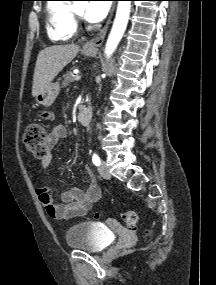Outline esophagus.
Masks as SVG:
<instances>
[{"mask_svg":"<svg viewBox=\"0 0 216 285\" xmlns=\"http://www.w3.org/2000/svg\"><path fill=\"white\" fill-rule=\"evenodd\" d=\"M113 10H114V7L112 8V10L110 12L109 18H108L105 26L102 28V30L95 37H93L92 39H90L89 41H87L84 44V46H83L84 49H88V50L97 49L102 44L104 37L106 35V32L108 30V27L111 23V19L113 16Z\"/></svg>","mask_w":216,"mask_h":285,"instance_id":"obj_1","label":"esophagus"}]
</instances>
